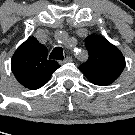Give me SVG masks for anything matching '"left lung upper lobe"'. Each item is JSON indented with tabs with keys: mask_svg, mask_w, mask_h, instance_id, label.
Here are the masks:
<instances>
[{
	"mask_svg": "<svg viewBox=\"0 0 135 135\" xmlns=\"http://www.w3.org/2000/svg\"><path fill=\"white\" fill-rule=\"evenodd\" d=\"M89 58L79 69L95 85L106 86L119 78L125 68V58L120 50L99 35L85 39Z\"/></svg>",
	"mask_w": 135,
	"mask_h": 135,
	"instance_id": "obj_1",
	"label": "left lung upper lobe"
}]
</instances>
